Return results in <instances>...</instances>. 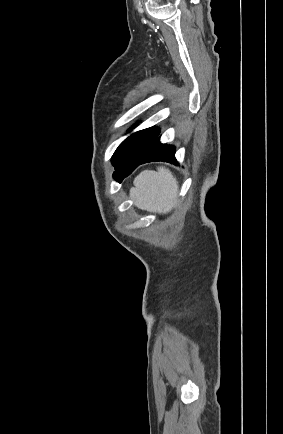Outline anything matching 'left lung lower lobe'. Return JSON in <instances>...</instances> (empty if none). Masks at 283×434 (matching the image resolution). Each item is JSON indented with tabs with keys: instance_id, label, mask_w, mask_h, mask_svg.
<instances>
[{
	"instance_id": "obj_1",
	"label": "left lung lower lobe",
	"mask_w": 283,
	"mask_h": 434,
	"mask_svg": "<svg viewBox=\"0 0 283 434\" xmlns=\"http://www.w3.org/2000/svg\"><path fill=\"white\" fill-rule=\"evenodd\" d=\"M153 161H163L176 164L175 147L173 145L160 143V137L157 136L155 141L152 143V145L142 157L115 166L116 171L114 172L113 177L114 179L121 182L125 177L130 175L139 165Z\"/></svg>"
}]
</instances>
